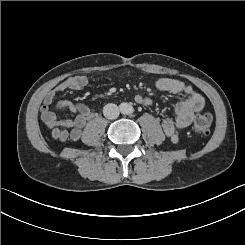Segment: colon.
I'll return each instance as SVG.
<instances>
[{"label":"colon","instance_id":"obj_1","mask_svg":"<svg viewBox=\"0 0 245 245\" xmlns=\"http://www.w3.org/2000/svg\"><path fill=\"white\" fill-rule=\"evenodd\" d=\"M212 121L213 118L210 113L198 114L194 119V129L201 134H208Z\"/></svg>","mask_w":245,"mask_h":245}]
</instances>
